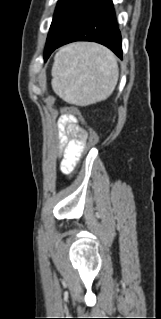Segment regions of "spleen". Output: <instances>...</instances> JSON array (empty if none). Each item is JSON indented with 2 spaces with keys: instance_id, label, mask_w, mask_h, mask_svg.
<instances>
[{
  "instance_id": "obj_1",
  "label": "spleen",
  "mask_w": 161,
  "mask_h": 319,
  "mask_svg": "<svg viewBox=\"0 0 161 319\" xmlns=\"http://www.w3.org/2000/svg\"><path fill=\"white\" fill-rule=\"evenodd\" d=\"M52 88L64 101L87 106L107 99L118 81L114 54L92 43H75L59 50L52 68Z\"/></svg>"
}]
</instances>
